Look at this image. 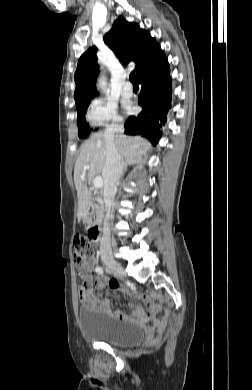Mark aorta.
I'll list each match as a JSON object with an SVG mask.
<instances>
[{
    "label": "aorta",
    "instance_id": "aorta-1",
    "mask_svg": "<svg viewBox=\"0 0 252 390\" xmlns=\"http://www.w3.org/2000/svg\"><path fill=\"white\" fill-rule=\"evenodd\" d=\"M107 86V82L103 77H100L97 81V88L98 89H105Z\"/></svg>",
    "mask_w": 252,
    "mask_h": 390
}]
</instances>
